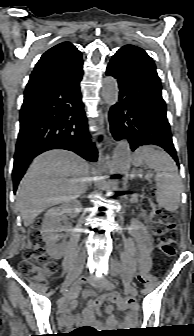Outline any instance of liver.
Here are the masks:
<instances>
[{
	"label": "liver",
	"instance_id": "6515ba94",
	"mask_svg": "<svg viewBox=\"0 0 194 336\" xmlns=\"http://www.w3.org/2000/svg\"><path fill=\"white\" fill-rule=\"evenodd\" d=\"M88 174L87 162L67 150H50L35 158L17 190L24 225H31L47 208L83 194Z\"/></svg>",
	"mask_w": 194,
	"mask_h": 336
}]
</instances>
